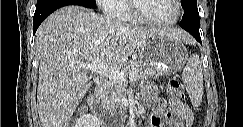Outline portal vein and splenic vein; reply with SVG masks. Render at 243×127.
<instances>
[{"mask_svg": "<svg viewBox=\"0 0 243 127\" xmlns=\"http://www.w3.org/2000/svg\"><path fill=\"white\" fill-rule=\"evenodd\" d=\"M81 67L86 70H91V71L99 74L100 76L107 77L114 81L118 80L120 82H125L127 75H128L129 80H132V81L135 80V78L137 76V72L134 69L129 71L128 74L126 75V73L123 72L122 70H120L119 68H109V67L103 65L98 60H92L89 63L82 64Z\"/></svg>", "mask_w": 243, "mask_h": 127, "instance_id": "1", "label": "portal vein and splenic vein"}]
</instances>
